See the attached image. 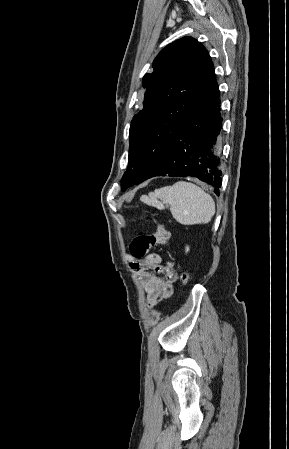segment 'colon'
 <instances>
[{
  "mask_svg": "<svg viewBox=\"0 0 289 449\" xmlns=\"http://www.w3.org/2000/svg\"><path fill=\"white\" fill-rule=\"evenodd\" d=\"M156 230L151 234H140L135 236L130 243V253L135 258H145L149 254L150 249L156 245H163L167 242L169 234L166 228L155 221ZM181 282L183 285H188L190 281V276L186 271H182Z\"/></svg>",
  "mask_w": 289,
  "mask_h": 449,
  "instance_id": "5ec220e1",
  "label": "colon"
}]
</instances>
